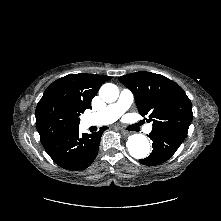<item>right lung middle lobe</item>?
Listing matches in <instances>:
<instances>
[{
  "instance_id": "right-lung-middle-lobe-1",
  "label": "right lung middle lobe",
  "mask_w": 221,
  "mask_h": 221,
  "mask_svg": "<svg viewBox=\"0 0 221 221\" xmlns=\"http://www.w3.org/2000/svg\"><path fill=\"white\" fill-rule=\"evenodd\" d=\"M79 114L52 102L36 114V126L42 144L79 128Z\"/></svg>"
}]
</instances>
